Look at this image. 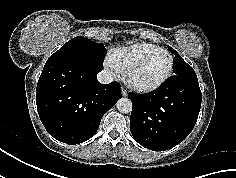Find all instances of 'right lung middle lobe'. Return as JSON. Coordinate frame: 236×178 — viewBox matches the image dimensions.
<instances>
[{
    "mask_svg": "<svg viewBox=\"0 0 236 178\" xmlns=\"http://www.w3.org/2000/svg\"><path fill=\"white\" fill-rule=\"evenodd\" d=\"M105 53L106 49L102 43H95L87 38L77 36L64 44L49 58L81 55L92 56L99 61H103Z\"/></svg>",
    "mask_w": 236,
    "mask_h": 178,
    "instance_id": "1",
    "label": "right lung middle lobe"
}]
</instances>
